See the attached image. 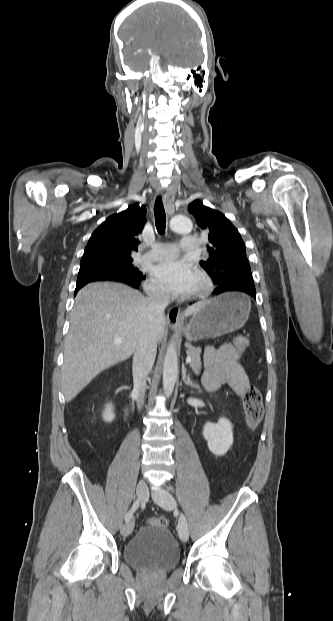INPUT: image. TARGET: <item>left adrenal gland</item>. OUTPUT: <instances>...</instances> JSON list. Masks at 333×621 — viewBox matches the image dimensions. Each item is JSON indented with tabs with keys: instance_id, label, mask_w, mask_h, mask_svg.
Listing matches in <instances>:
<instances>
[{
	"instance_id": "1",
	"label": "left adrenal gland",
	"mask_w": 333,
	"mask_h": 621,
	"mask_svg": "<svg viewBox=\"0 0 333 621\" xmlns=\"http://www.w3.org/2000/svg\"><path fill=\"white\" fill-rule=\"evenodd\" d=\"M182 378L183 381L186 385L191 386V387H196V384L193 382V380L190 378V374H186V368L183 366L182 368Z\"/></svg>"
}]
</instances>
